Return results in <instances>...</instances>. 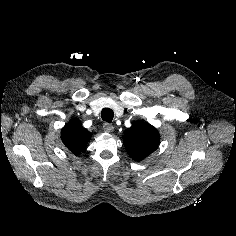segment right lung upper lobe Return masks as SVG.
<instances>
[{
	"label": "right lung upper lobe",
	"mask_w": 236,
	"mask_h": 236,
	"mask_svg": "<svg viewBox=\"0 0 236 236\" xmlns=\"http://www.w3.org/2000/svg\"><path fill=\"white\" fill-rule=\"evenodd\" d=\"M91 138V133L83 128L77 118H73L61 130L64 145L75 155H79Z\"/></svg>",
	"instance_id": "cb5924a9"
}]
</instances>
